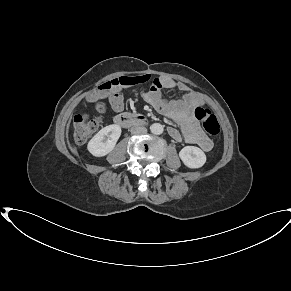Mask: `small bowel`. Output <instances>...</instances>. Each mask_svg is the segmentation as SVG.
<instances>
[{
  "instance_id": "c3829d8e",
  "label": "small bowel",
  "mask_w": 291,
  "mask_h": 291,
  "mask_svg": "<svg viewBox=\"0 0 291 291\" xmlns=\"http://www.w3.org/2000/svg\"><path fill=\"white\" fill-rule=\"evenodd\" d=\"M142 77L146 80L149 78L147 75ZM120 89H113L106 96L99 95L97 91L91 92L86 96V101L97 104L103 99H108L112 110L121 112L125 102ZM165 89H178L184 91L185 94L179 99L167 100L162 95V91ZM142 96L160 114L171 118L179 125L180 131L176 128H169V135L174 140L197 145L204 151L212 149V141L202 132L192 115V110L201 106L203 102L194 92L189 90L187 85L172 78L160 76L154 79L151 88L143 92Z\"/></svg>"
}]
</instances>
